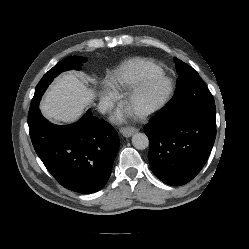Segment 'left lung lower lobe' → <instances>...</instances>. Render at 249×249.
Instances as JSON below:
<instances>
[{"instance_id":"obj_1","label":"left lung lower lobe","mask_w":249,"mask_h":249,"mask_svg":"<svg viewBox=\"0 0 249 249\" xmlns=\"http://www.w3.org/2000/svg\"><path fill=\"white\" fill-rule=\"evenodd\" d=\"M152 172L169 185L192 180L206 163L216 137L215 108H196L175 116L163 112L144 128Z\"/></svg>"}]
</instances>
